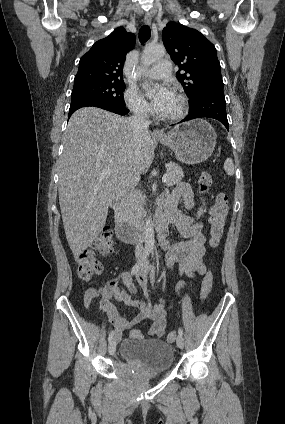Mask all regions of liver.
Returning <instances> with one entry per match:
<instances>
[{"instance_id":"1","label":"liver","mask_w":285,"mask_h":424,"mask_svg":"<svg viewBox=\"0 0 285 424\" xmlns=\"http://www.w3.org/2000/svg\"><path fill=\"white\" fill-rule=\"evenodd\" d=\"M154 152L150 133L135 136L127 117L96 107L71 116L58 164V192L65 235L75 256L102 231L109 205L147 173ZM106 168L113 172L101 176Z\"/></svg>"}]
</instances>
